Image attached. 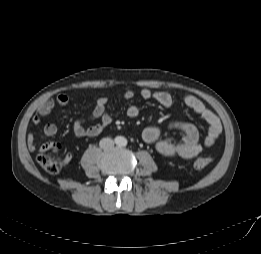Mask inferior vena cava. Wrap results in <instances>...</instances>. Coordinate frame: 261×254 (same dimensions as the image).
<instances>
[{
	"label": "inferior vena cava",
	"mask_w": 261,
	"mask_h": 254,
	"mask_svg": "<svg viewBox=\"0 0 261 254\" xmlns=\"http://www.w3.org/2000/svg\"><path fill=\"white\" fill-rule=\"evenodd\" d=\"M99 145L102 149H111L114 146V141L111 138H103Z\"/></svg>",
	"instance_id": "inferior-vena-cava-1"
}]
</instances>
